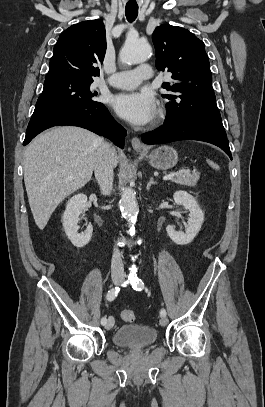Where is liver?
Returning a JSON list of instances; mask_svg holds the SVG:
<instances>
[{
	"label": "liver",
	"instance_id": "6515ba94",
	"mask_svg": "<svg viewBox=\"0 0 265 407\" xmlns=\"http://www.w3.org/2000/svg\"><path fill=\"white\" fill-rule=\"evenodd\" d=\"M102 142L86 129L63 126L40 134L25 148L24 182L40 230L66 197L90 181Z\"/></svg>",
	"mask_w": 265,
	"mask_h": 407
}]
</instances>
